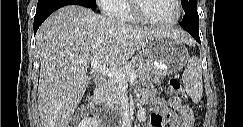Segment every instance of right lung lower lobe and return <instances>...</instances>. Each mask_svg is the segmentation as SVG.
Returning a JSON list of instances; mask_svg holds the SVG:
<instances>
[{
	"label": "right lung lower lobe",
	"instance_id": "98d812e1",
	"mask_svg": "<svg viewBox=\"0 0 243 127\" xmlns=\"http://www.w3.org/2000/svg\"><path fill=\"white\" fill-rule=\"evenodd\" d=\"M67 5H81L89 8L84 0H42L37 4L36 15L34 17V34L51 13Z\"/></svg>",
	"mask_w": 243,
	"mask_h": 127
}]
</instances>
